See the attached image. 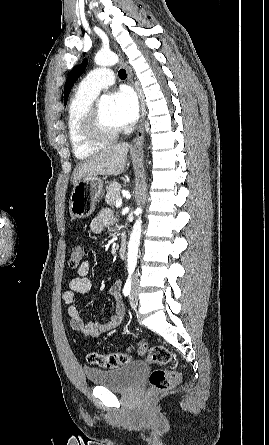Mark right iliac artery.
I'll use <instances>...</instances> for the list:
<instances>
[{"instance_id": "obj_1", "label": "right iliac artery", "mask_w": 269, "mask_h": 445, "mask_svg": "<svg viewBox=\"0 0 269 445\" xmlns=\"http://www.w3.org/2000/svg\"><path fill=\"white\" fill-rule=\"evenodd\" d=\"M130 291H131V280L128 279L123 288L124 296H128L130 294Z\"/></svg>"}]
</instances>
